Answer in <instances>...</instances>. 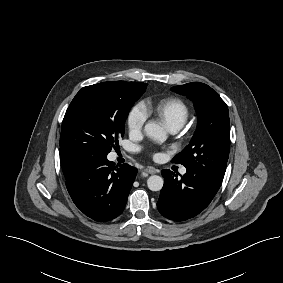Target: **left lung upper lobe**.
Here are the masks:
<instances>
[{
  "label": "left lung upper lobe",
  "mask_w": 283,
  "mask_h": 283,
  "mask_svg": "<svg viewBox=\"0 0 283 283\" xmlns=\"http://www.w3.org/2000/svg\"><path fill=\"white\" fill-rule=\"evenodd\" d=\"M172 91L194 102L198 126L188 146L173 162L221 185L230 149V121L226 103L211 87L199 82L174 86Z\"/></svg>",
  "instance_id": "obj_1"
}]
</instances>
